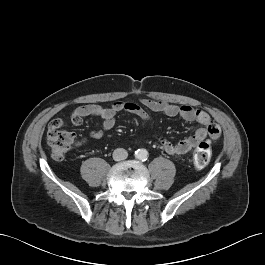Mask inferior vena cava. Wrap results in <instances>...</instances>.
<instances>
[{
  "instance_id": "602c4592",
  "label": "inferior vena cava",
  "mask_w": 265,
  "mask_h": 265,
  "mask_svg": "<svg viewBox=\"0 0 265 265\" xmlns=\"http://www.w3.org/2000/svg\"><path fill=\"white\" fill-rule=\"evenodd\" d=\"M128 157V153L123 148H117L113 152V159L115 161L125 160Z\"/></svg>"
}]
</instances>
